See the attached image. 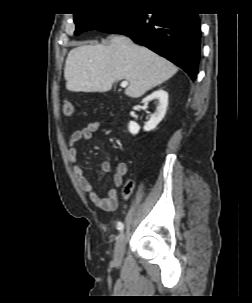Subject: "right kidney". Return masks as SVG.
I'll list each match as a JSON object with an SVG mask.
<instances>
[{"mask_svg":"<svg viewBox=\"0 0 252 303\" xmlns=\"http://www.w3.org/2000/svg\"><path fill=\"white\" fill-rule=\"evenodd\" d=\"M152 100H158V106L156 112L152 114L149 121L145 123L143 128L144 131L154 130L164 118L168 106V93L163 89H159L144 98L142 103L144 104V106H147L148 103ZM128 130L132 135H136L139 132L140 127L136 122L130 121L128 125Z\"/></svg>","mask_w":252,"mask_h":303,"instance_id":"1","label":"right kidney"}]
</instances>
